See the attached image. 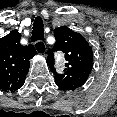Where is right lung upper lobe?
Segmentation results:
<instances>
[{
    "mask_svg": "<svg viewBox=\"0 0 117 117\" xmlns=\"http://www.w3.org/2000/svg\"><path fill=\"white\" fill-rule=\"evenodd\" d=\"M21 34L13 30L0 38V89L16 91L24 84L29 59L37 54L33 45L22 46Z\"/></svg>",
    "mask_w": 117,
    "mask_h": 117,
    "instance_id": "cb5924a9",
    "label": "right lung upper lobe"
}]
</instances>
